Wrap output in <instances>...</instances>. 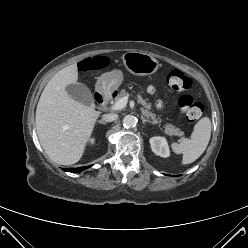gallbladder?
I'll list each match as a JSON object with an SVG mask.
<instances>
[{
    "instance_id": "1",
    "label": "gallbladder",
    "mask_w": 248,
    "mask_h": 248,
    "mask_svg": "<svg viewBox=\"0 0 248 248\" xmlns=\"http://www.w3.org/2000/svg\"><path fill=\"white\" fill-rule=\"evenodd\" d=\"M66 91L69 96L77 102L87 106H93L94 100L91 91L82 83L68 85Z\"/></svg>"
}]
</instances>
